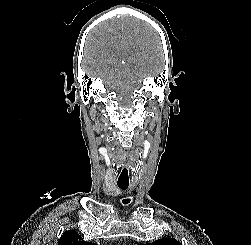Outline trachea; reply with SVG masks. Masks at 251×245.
Instances as JSON below:
<instances>
[{"label":"trachea","instance_id":"trachea-1","mask_svg":"<svg viewBox=\"0 0 251 245\" xmlns=\"http://www.w3.org/2000/svg\"><path fill=\"white\" fill-rule=\"evenodd\" d=\"M117 185H118V187L120 188V189H123V190H125V189H127L128 188V183H117Z\"/></svg>","mask_w":251,"mask_h":245}]
</instances>
